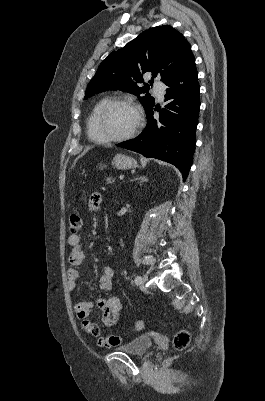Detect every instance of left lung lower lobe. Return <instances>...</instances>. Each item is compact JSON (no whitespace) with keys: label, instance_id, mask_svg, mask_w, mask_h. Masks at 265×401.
I'll use <instances>...</instances> for the list:
<instances>
[{"label":"left lung lower lobe","instance_id":"1","mask_svg":"<svg viewBox=\"0 0 265 401\" xmlns=\"http://www.w3.org/2000/svg\"><path fill=\"white\" fill-rule=\"evenodd\" d=\"M166 85L165 101L169 103L165 109L157 110L160 112L159 119L153 117L154 108L148 110L143 132L117 146L175 165L185 181L195 150L200 109V87L193 55Z\"/></svg>","mask_w":265,"mask_h":401}]
</instances>
